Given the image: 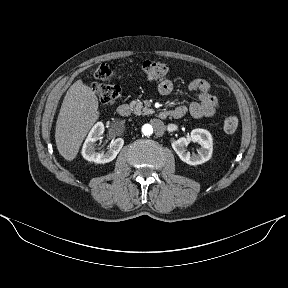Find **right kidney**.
<instances>
[{"label": "right kidney", "mask_w": 288, "mask_h": 288, "mask_svg": "<svg viewBox=\"0 0 288 288\" xmlns=\"http://www.w3.org/2000/svg\"><path fill=\"white\" fill-rule=\"evenodd\" d=\"M104 132V125L102 122H97L86 138L82 147V156L84 159L95 163H108L114 160L124 145L122 138L112 140L108 151L96 152L95 143Z\"/></svg>", "instance_id": "obj_1"}]
</instances>
